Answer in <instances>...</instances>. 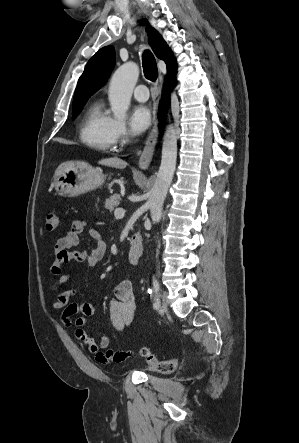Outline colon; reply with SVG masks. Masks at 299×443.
Wrapping results in <instances>:
<instances>
[{
    "instance_id": "5ec220e1",
    "label": "colon",
    "mask_w": 299,
    "mask_h": 443,
    "mask_svg": "<svg viewBox=\"0 0 299 443\" xmlns=\"http://www.w3.org/2000/svg\"><path fill=\"white\" fill-rule=\"evenodd\" d=\"M59 226V217L54 211H48L45 216L44 228L53 231ZM141 355L146 358L152 368L160 373H172L177 367L175 359H160L148 347L141 349Z\"/></svg>"
}]
</instances>
